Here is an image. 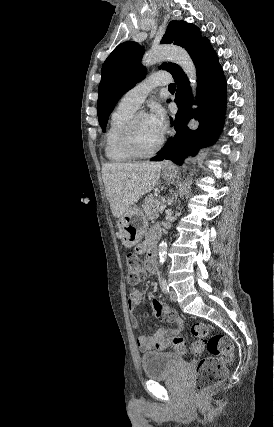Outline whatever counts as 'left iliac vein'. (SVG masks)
Wrapping results in <instances>:
<instances>
[{
    "label": "left iliac vein",
    "mask_w": 274,
    "mask_h": 427,
    "mask_svg": "<svg viewBox=\"0 0 274 427\" xmlns=\"http://www.w3.org/2000/svg\"><path fill=\"white\" fill-rule=\"evenodd\" d=\"M170 300L172 302H176L177 301V295H176V292L174 290L170 291Z\"/></svg>",
    "instance_id": "left-iliac-vein-1"
}]
</instances>
